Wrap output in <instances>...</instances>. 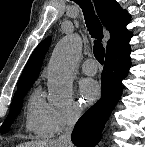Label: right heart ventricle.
Masks as SVG:
<instances>
[{
	"label": "right heart ventricle",
	"mask_w": 145,
	"mask_h": 147,
	"mask_svg": "<svg viewBox=\"0 0 145 147\" xmlns=\"http://www.w3.org/2000/svg\"><path fill=\"white\" fill-rule=\"evenodd\" d=\"M53 108L36 89L30 95L26 106V130L39 138L50 137L53 134L51 125Z\"/></svg>",
	"instance_id": "e07e8e85"
}]
</instances>
